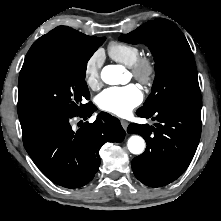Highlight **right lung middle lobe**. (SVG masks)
<instances>
[{
	"instance_id": "right-lung-middle-lobe-1",
	"label": "right lung middle lobe",
	"mask_w": 221,
	"mask_h": 221,
	"mask_svg": "<svg viewBox=\"0 0 221 221\" xmlns=\"http://www.w3.org/2000/svg\"><path fill=\"white\" fill-rule=\"evenodd\" d=\"M105 37L51 55L19 76L18 116L20 122L55 113H79L89 103L85 82L87 62Z\"/></svg>"
}]
</instances>
